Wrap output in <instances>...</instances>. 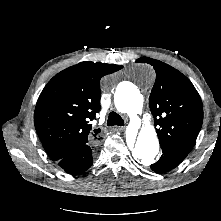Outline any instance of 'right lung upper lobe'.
<instances>
[{"label": "right lung upper lobe", "mask_w": 221, "mask_h": 221, "mask_svg": "<svg viewBox=\"0 0 221 221\" xmlns=\"http://www.w3.org/2000/svg\"><path fill=\"white\" fill-rule=\"evenodd\" d=\"M122 66L81 62L55 75L41 92L34 123L44 149L54 161L98 139L91 121L100 111V80Z\"/></svg>", "instance_id": "obj_1"}]
</instances>
